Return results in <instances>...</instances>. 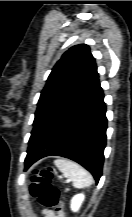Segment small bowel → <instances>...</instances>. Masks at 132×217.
Instances as JSON below:
<instances>
[{"label":"small bowel","instance_id":"1","mask_svg":"<svg viewBox=\"0 0 132 217\" xmlns=\"http://www.w3.org/2000/svg\"><path fill=\"white\" fill-rule=\"evenodd\" d=\"M43 215L44 217H64V213H55L52 210H45Z\"/></svg>","mask_w":132,"mask_h":217}]
</instances>
